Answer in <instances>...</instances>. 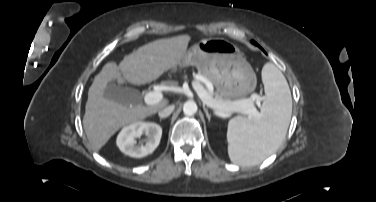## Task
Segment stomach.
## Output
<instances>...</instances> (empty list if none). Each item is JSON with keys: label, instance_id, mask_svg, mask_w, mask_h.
Masks as SVG:
<instances>
[{"label": "stomach", "instance_id": "obj_1", "mask_svg": "<svg viewBox=\"0 0 376 202\" xmlns=\"http://www.w3.org/2000/svg\"><path fill=\"white\" fill-rule=\"evenodd\" d=\"M189 65L195 66L212 82L224 98L243 97L255 90L256 76L251 65L226 39H202L194 44L180 63V67Z\"/></svg>", "mask_w": 376, "mask_h": 202}]
</instances>
